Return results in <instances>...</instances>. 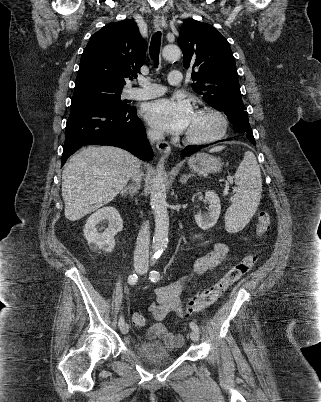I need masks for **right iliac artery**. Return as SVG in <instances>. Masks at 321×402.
Listing matches in <instances>:
<instances>
[{"label": "right iliac artery", "mask_w": 321, "mask_h": 402, "mask_svg": "<svg viewBox=\"0 0 321 402\" xmlns=\"http://www.w3.org/2000/svg\"><path fill=\"white\" fill-rule=\"evenodd\" d=\"M137 280H138L137 274H131L128 277V283L130 285H135ZM123 325H124V318H123V316H121L119 319V322H118V326L121 328Z\"/></svg>", "instance_id": "obj_1"}]
</instances>
